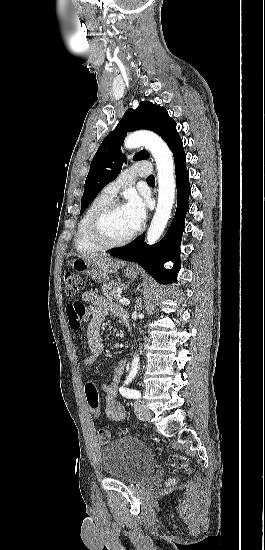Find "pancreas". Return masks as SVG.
Masks as SVG:
<instances>
[{"instance_id":"1","label":"pancreas","mask_w":265,"mask_h":550,"mask_svg":"<svg viewBox=\"0 0 265 550\" xmlns=\"http://www.w3.org/2000/svg\"><path fill=\"white\" fill-rule=\"evenodd\" d=\"M119 288H125L124 284L121 281H110L103 285L102 292L110 301L119 300L120 295L117 293V289Z\"/></svg>"}]
</instances>
